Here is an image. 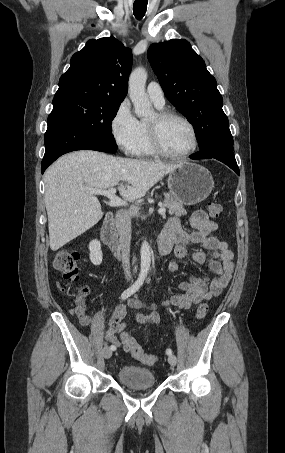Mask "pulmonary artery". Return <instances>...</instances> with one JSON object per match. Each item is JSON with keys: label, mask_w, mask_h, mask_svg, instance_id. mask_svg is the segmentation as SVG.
Here are the masks:
<instances>
[{"label": "pulmonary artery", "mask_w": 285, "mask_h": 453, "mask_svg": "<svg viewBox=\"0 0 285 453\" xmlns=\"http://www.w3.org/2000/svg\"><path fill=\"white\" fill-rule=\"evenodd\" d=\"M147 95L150 100L157 106L163 107L165 104L164 93L157 82H150L147 86Z\"/></svg>", "instance_id": "obj_1"}]
</instances>
